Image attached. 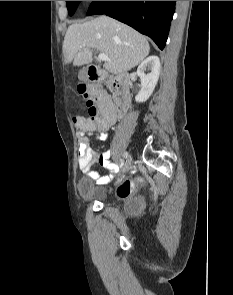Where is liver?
<instances>
[{
  "instance_id": "6515ba94",
  "label": "liver",
  "mask_w": 233,
  "mask_h": 295,
  "mask_svg": "<svg viewBox=\"0 0 233 295\" xmlns=\"http://www.w3.org/2000/svg\"><path fill=\"white\" fill-rule=\"evenodd\" d=\"M93 49L110 59L104 64L106 70L121 74L140 64L148 56L150 46L142 34L108 16L68 27L63 42L65 64H91Z\"/></svg>"
}]
</instances>
